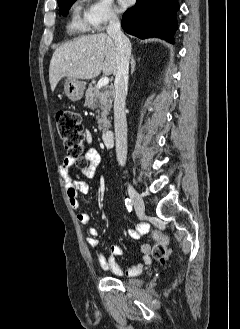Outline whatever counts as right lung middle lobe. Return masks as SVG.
Listing matches in <instances>:
<instances>
[{
  "label": "right lung middle lobe",
  "mask_w": 240,
  "mask_h": 329,
  "mask_svg": "<svg viewBox=\"0 0 240 329\" xmlns=\"http://www.w3.org/2000/svg\"><path fill=\"white\" fill-rule=\"evenodd\" d=\"M75 1L76 0H62L58 2V5L60 6L59 13L65 16L70 8V5Z\"/></svg>",
  "instance_id": "dd1d6c3e"
}]
</instances>
